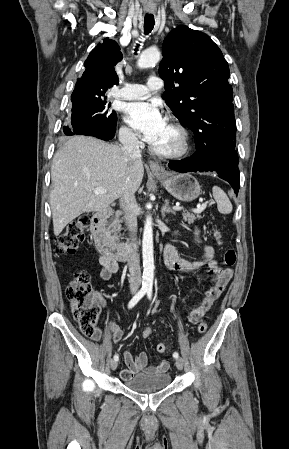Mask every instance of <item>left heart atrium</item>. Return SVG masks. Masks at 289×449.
<instances>
[{
  "label": "left heart atrium",
  "mask_w": 289,
  "mask_h": 449,
  "mask_svg": "<svg viewBox=\"0 0 289 449\" xmlns=\"http://www.w3.org/2000/svg\"><path fill=\"white\" fill-rule=\"evenodd\" d=\"M125 120L136 129L142 139L153 144L166 126L159 107L151 102H133L125 106Z\"/></svg>",
  "instance_id": "39dd6f15"
}]
</instances>
